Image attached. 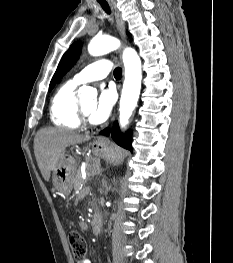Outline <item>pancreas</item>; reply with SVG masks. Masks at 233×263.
Masks as SVG:
<instances>
[{
	"mask_svg": "<svg viewBox=\"0 0 233 263\" xmlns=\"http://www.w3.org/2000/svg\"><path fill=\"white\" fill-rule=\"evenodd\" d=\"M86 182L87 181L82 178L81 172H78L76 177L74 178L73 183L75 190L80 191V193L78 194L79 198L86 195L87 191L89 190V188L84 187ZM82 187L84 188L81 190Z\"/></svg>",
	"mask_w": 233,
	"mask_h": 263,
	"instance_id": "1",
	"label": "pancreas"
}]
</instances>
